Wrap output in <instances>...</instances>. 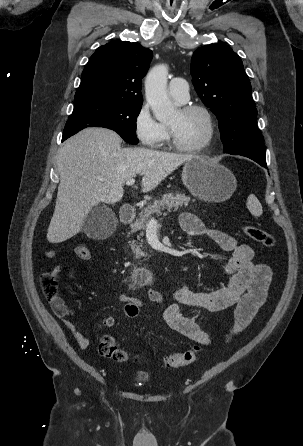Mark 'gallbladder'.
Here are the masks:
<instances>
[{
    "instance_id": "obj_1",
    "label": "gallbladder",
    "mask_w": 303,
    "mask_h": 446,
    "mask_svg": "<svg viewBox=\"0 0 303 446\" xmlns=\"http://www.w3.org/2000/svg\"><path fill=\"white\" fill-rule=\"evenodd\" d=\"M114 212L105 206H96L85 218L82 231L93 239L108 236L116 226Z\"/></svg>"
}]
</instances>
